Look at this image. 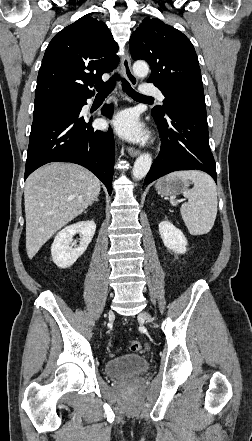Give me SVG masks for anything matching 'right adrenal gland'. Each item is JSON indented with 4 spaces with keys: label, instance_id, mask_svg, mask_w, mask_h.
I'll use <instances>...</instances> for the list:
<instances>
[{
    "label": "right adrenal gland",
    "instance_id": "right-adrenal-gland-1",
    "mask_svg": "<svg viewBox=\"0 0 252 441\" xmlns=\"http://www.w3.org/2000/svg\"><path fill=\"white\" fill-rule=\"evenodd\" d=\"M94 201H96V202H97V201H98V198H95V200H94Z\"/></svg>",
    "mask_w": 252,
    "mask_h": 441
}]
</instances>
